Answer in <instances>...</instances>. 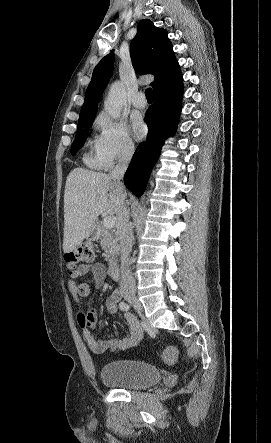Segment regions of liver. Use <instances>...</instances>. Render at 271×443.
Here are the masks:
<instances>
[{
	"label": "liver",
	"mask_w": 271,
	"mask_h": 443,
	"mask_svg": "<svg viewBox=\"0 0 271 443\" xmlns=\"http://www.w3.org/2000/svg\"><path fill=\"white\" fill-rule=\"evenodd\" d=\"M119 184L108 174L74 168L64 192L63 251H73L92 231L100 214H116L121 220L123 198Z\"/></svg>",
	"instance_id": "1"
}]
</instances>
